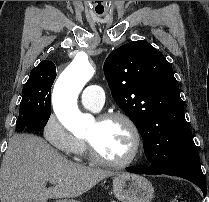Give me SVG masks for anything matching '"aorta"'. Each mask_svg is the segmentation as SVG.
Returning <instances> with one entry per match:
<instances>
[{
    "label": "aorta",
    "instance_id": "762f6f07",
    "mask_svg": "<svg viewBox=\"0 0 209 202\" xmlns=\"http://www.w3.org/2000/svg\"><path fill=\"white\" fill-rule=\"evenodd\" d=\"M94 67L88 57L79 53L59 76L53 91V107L62 125L73 134L84 133L93 123V117L83 114L77 106V97L93 77Z\"/></svg>",
    "mask_w": 209,
    "mask_h": 202
}]
</instances>
